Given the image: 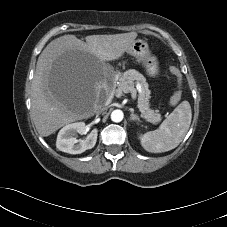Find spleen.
Wrapping results in <instances>:
<instances>
[{
  "mask_svg": "<svg viewBox=\"0 0 227 227\" xmlns=\"http://www.w3.org/2000/svg\"><path fill=\"white\" fill-rule=\"evenodd\" d=\"M192 119L188 101L181 102L162 122L159 129L141 137V145L151 153H161L176 148L185 137Z\"/></svg>",
  "mask_w": 227,
  "mask_h": 227,
  "instance_id": "3e777b00",
  "label": "spleen"
}]
</instances>
